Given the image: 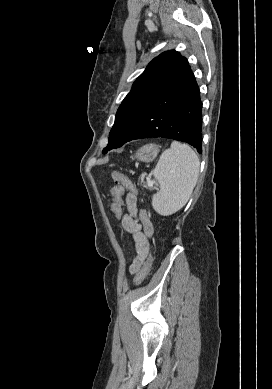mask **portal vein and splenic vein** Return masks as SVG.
Instances as JSON below:
<instances>
[{"mask_svg":"<svg viewBox=\"0 0 272 389\" xmlns=\"http://www.w3.org/2000/svg\"><path fill=\"white\" fill-rule=\"evenodd\" d=\"M147 184H148L149 187L153 186V182L152 181H148Z\"/></svg>","mask_w":272,"mask_h":389,"instance_id":"18ae733b","label":"portal vein and splenic vein"}]
</instances>
